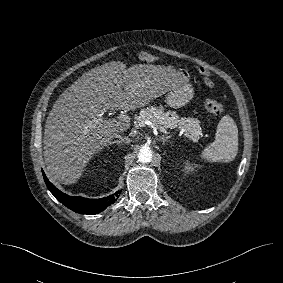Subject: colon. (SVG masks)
<instances>
[{
	"label": "colon",
	"instance_id": "1",
	"mask_svg": "<svg viewBox=\"0 0 283 283\" xmlns=\"http://www.w3.org/2000/svg\"><path fill=\"white\" fill-rule=\"evenodd\" d=\"M139 57L142 61L146 62V63H150V62H154L157 60V56L150 53V52H146L143 51L139 54ZM205 108L208 112L217 115V116H221L224 114V107L221 103L215 101V100H207L205 102Z\"/></svg>",
	"mask_w": 283,
	"mask_h": 283
}]
</instances>
